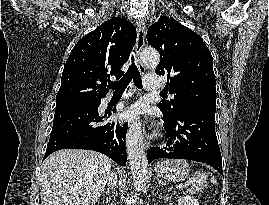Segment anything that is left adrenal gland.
Returning <instances> with one entry per match:
<instances>
[{
  "label": "left adrenal gland",
  "instance_id": "1",
  "mask_svg": "<svg viewBox=\"0 0 269 205\" xmlns=\"http://www.w3.org/2000/svg\"><path fill=\"white\" fill-rule=\"evenodd\" d=\"M154 179H155V182H156V186H163V185H165V183L163 181L159 180L158 177H155Z\"/></svg>",
  "mask_w": 269,
  "mask_h": 205
}]
</instances>
